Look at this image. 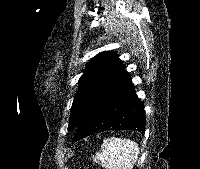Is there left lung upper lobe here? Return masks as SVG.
<instances>
[{
  "label": "left lung upper lobe",
  "instance_id": "1",
  "mask_svg": "<svg viewBox=\"0 0 200 169\" xmlns=\"http://www.w3.org/2000/svg\"><path fill=\"white\" fill-rule=\"evenodd\" d=\"M130 78L115 53L101 52L92 58L79 80L81 87L73 101L68 130L76 129L95 103Z\"/></svg>",
  "mask_w": 200,
  "mask_h": 169
}]
</instances>
